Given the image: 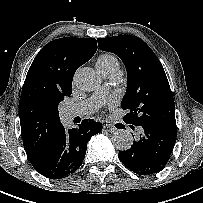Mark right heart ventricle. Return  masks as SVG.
Masks as SVG:
<instances>
[{"mask_svg": "<svg viewBox=\"0 0 203 203\" xmlns=\"http://www.w3.org/2000/svg\"><path fill=\"white\" fill-rule=\"evenodd\" d=\"M96 65L104 76L115 77L120 71V62L118 58L109 53L100 55L97 58Z\"/></svg>", "mask_w": 203, "mask_h": 203, "instance_id": "1", "label": "right heart ventricle"}]
</instances>
